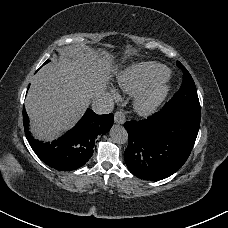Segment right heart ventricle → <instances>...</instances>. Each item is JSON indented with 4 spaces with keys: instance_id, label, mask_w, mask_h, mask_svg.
Segmentation results:
<instances>
[{
    "instance_id": "obj_1",
    "label": "right heart ventricle",
    "mask_w": 228,
    "mask_h": 228,
    "mask_svg": "<svg viewBox=\"0 0 228 228\" xmlns=\"http://www.w3.org/2000/svg\"><path fill=\"white\" fill-rule=\"evenodd\" d=\"M166 74L167 70L160 65L145 64L128 73L122 82L128 92L136 94L146 87L162 81Z\"/></svg>"
}]
</instances>
